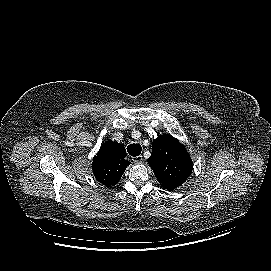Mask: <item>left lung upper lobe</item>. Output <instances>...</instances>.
Returning a JSON list of instances; mask_svg holds the SVG:
<instances>
[{
    "instance_id": "left-lung-upper-lobe-1",
    "label": "left lung upper lobe",
    "mask_w": 271,
    "mask_h": 271,
    "mask_svg": "<svg viewBox=\"0 0 271 271\" xmlns=\"http://www.w3.org/2000/svg\"><path fill=\"white\" fill-rule=\"evenodd\" d=\"M148 163L161 186L174 190L182 185L192 172V160L185 147L167 134L159 135L152 143Z\"/></svg>"
}]
</instances>
